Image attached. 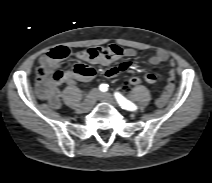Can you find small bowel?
Returning <instances> with one entry per match:
<instances>
[{"label":"small bowel","mask_w":212,"mask_h":183,"mask_svg":"<svg viewBox=\"0 0 212 183\" xmlns=\"http://www.w3.org/2000/svg\"><path fill=\"white\" fill-rule=\"evenodd\" d=\"M136 55V51L129 48H123L118 45H108L106 47H92L75 54L76 58L88 62L90 64H99V65H108L111 64L123 57H133ZM164 62H168L171 66L169 71V76L167 80V84L162 91V93L156 98L155 103L158 107H163L171 94L174 91L175 87V71H174V61L169 58V55L164 50H157L154 55H152L149 59V63L152 65H158ZM40 64L42 66H46L48 68H56L59 67L58 62L53 61L47 56V53L40 58ZM129 62H123L119 66H114L108 68L104 75L107 78H112L117 76L120 72L127 70L130 67ZM85 73L78 74L73 72L72 70L64 73L61 82L67 85H73L76 80L83 82H91L95 78L96 71L91 66H85ZM144 81L153 85L156 82V76L152 73H145ZM38 93L39 96L48 102V104L57 109L61 105L60 100V90L58 84L56 83H40L38 85Z\"/></svg>","instance_id":"c3829d8e"}]
</instances>
